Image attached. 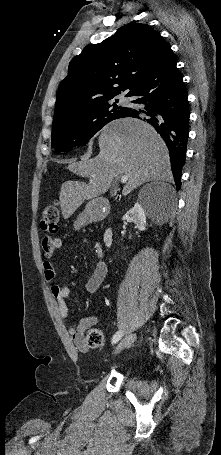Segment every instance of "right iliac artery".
Instances as JSON below:
<instances>
[{
	"instance_id": "1",
	"label": "right iliac artery",
	"mask_w": 221,
	"mask_h": 455,
	"mask_svg": "<svg viewBox=\"0 0 221 455\" xmlns=\"http://www.w3.org/2000/svg\"><path fill=\"white\" fill-rule=\"evenodd\" d=\"M122 336H123V332L122 331L116 332V334L112 338V344L117 343L122 338Z\"/></svg>"
}]
</instances>
